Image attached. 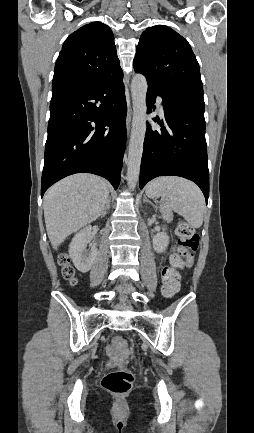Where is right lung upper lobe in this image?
<instances>
[{
  "label": "right lung upper lobe",
  "instance_id": "right-lung-upper-lobe-1",
  "mask_svg": "<svg viewBox=\"0 0 254 433\" xmlns=\"http://www.w3.org/2000/svg\"><path fill=\"white\" fill-rule=\"evenodd\" d=\"M111 29L93 22L73 32L55 64L52 91L73 85H96L123 76Z\"/></svg>",
  "mask_w": 254,
  "mask_h": 433
}]
</instances>
